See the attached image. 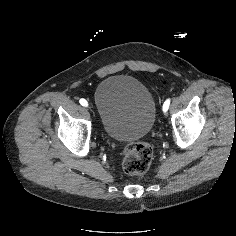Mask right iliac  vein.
I'll use <instances>...</instances> for the list:
<instances>
[{
	"instance_id": "1",
	"label": "right iliac vein",
	"mask_w": 236,
	"mask_h": 236,
	"mask_svg": "<svg viewBox=\"0 0 236 236\" xmlns=\"http://www.w3.org/2000/svg\"><path fill=\"white\" fill-rule=\"evenodd\" d=\"M89 111L92 113V117L96 120L99 117L97 109L94 106H90Z\"/></svg>"
}]
</instances>
